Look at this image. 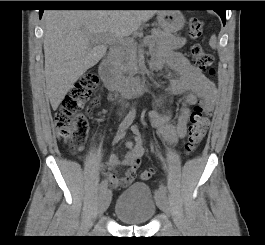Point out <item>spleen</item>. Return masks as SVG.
<instances>
[{
    "mask_svg": "<svg viewBox=\"0 0 265 245\" xmlns=\"http://www.w3.org/2000/svg\"><path fill=\"white\" fill-rule=\"evenodd\" d=\"M210 46L212 47V48H216L217 47V41H216V37L215 36H212L211 37V39H210Z\"/></svg>",
    "mask_w": 265,
    "mask_h": 245,
    "instance_id": "spleen-1",
    "label": "spleen"
}]
</instances>
